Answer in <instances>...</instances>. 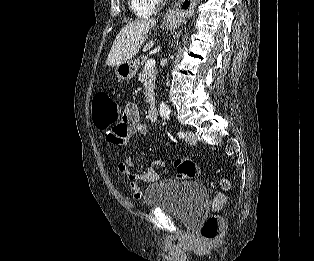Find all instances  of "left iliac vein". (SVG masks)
Listing matches in <instances>:
<instances>
[{
  "instance_id": "left-iliac-vein-1",
  "label": "left iliac vein",
  "mask_w": 314,
  "mask_h": 261,
  "mask_svg": "<svg viewBox=\"0 0 314 261\" xmlns=\"http://www.w3.org/2000/svg\"><path fill=\"white\" fill-rule=\"evenodd\" d=\"M185 135H186L185 141H186L188 144H191V145L196 144L197 140H196L195 135H194L193 132H191V131H186Z\"/></svg>"
}]
</instances>
